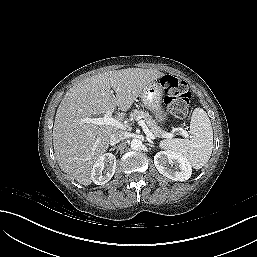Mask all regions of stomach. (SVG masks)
<instances>
[{"mask_svg": "<svg viewBox=\"0 0 257 257\" xmlns=\"http://www.w3.org/2000/svg\"><path fill=\"white\" fill-rule=\"evenodd\" d=\"M139 96L143 106L153 112L159 122L166 120V115L162 108L163 90L158 82L152 81L147 84Z\"/></svg>", "mask_w": 257, "mask_h": 257, "instance_id": "stomach-1", "label": "stomach"}]
</instances>
